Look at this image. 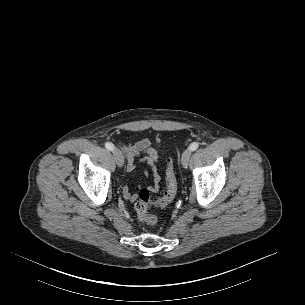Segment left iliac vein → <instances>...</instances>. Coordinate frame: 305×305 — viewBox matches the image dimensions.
Listing matches in <instances>:
<instances>
[{
  "instance_id": "obj_1",
  "label": "left iliac vein",
  "mask_w": 305,
  "mask_h": 305,
  "mask_svg": "<svg viewBox=\"0 0 305 305\" xmlns=\"http://www.w3.org/2000/svg\"><path fill=\"white\" fill-rule=\"evenodd\" d=\"M191 156V150L190 149H186L183 153H182V157H181V163L184 167L188 166L189 163V159Z\"/></svg>"
}]
</instances>
